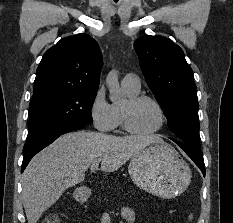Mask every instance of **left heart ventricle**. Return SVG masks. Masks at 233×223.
Returning <instances> with one entry per match:
<instances>
[{
  "mask_svg": "<svg viewBox=\"0 0 233 223\" xmlns=\"http://www.w3.org/2000/svg\"><path fill=\"white\" fill-rule=\"evenodd\" d=\"M132 126L139 132H151L161 124V115L156 105L143 101L134 107L131 114Z\"/></svg>",
  "mask_w": 233,
  "mask_h": 223,
  "instance_id": "obj_1",
  "label": "left heart ventricle"
}]
</instances>
